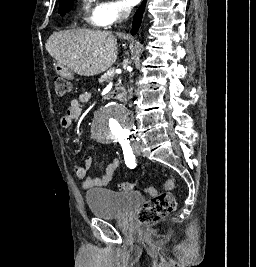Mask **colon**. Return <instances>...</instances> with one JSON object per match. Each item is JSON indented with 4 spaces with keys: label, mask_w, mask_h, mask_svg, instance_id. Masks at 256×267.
I'll return each mask as SVG.
<instances>
[{
    "label": "colon",
    "mask_w": 256,
    "mask_h": 267,
    "mask_svg": "<svg viewBox=\"0 0 256 267\" xmlns=\"http://www.w3.org/2000/svg\"><path fill=\"white\" fill-rule=\"evenodd\" d=\"M55 91L58 96H65L71 91V83L67 81V77L56 76L54 81ZM175 187L173 179L168 178L165 182V188L171 190ZM121 191H135L137 185L134 182H122L119 185ZM149 195L157 196L151 197L137 212V218L143 228H150L152 222H157L166 216L170 215L176 209V201L171 193L157 192L153 188L146 190Z\"/></svg>",
    "instance_id": "obj_1"
}]
</instances>
